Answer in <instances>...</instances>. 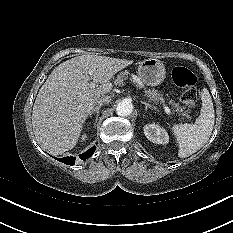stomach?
<instances>
[{
  "label": "stomach",
  "mask_w": 233,
  "mask_h": 233,
  "mask_svg": "<svg viewBox=\"0 0 233 233\" xmlns=\"http://www.w3.org/2000/svg\"><path fill=\"white\" fill-rule=\"evenodd\" d=\"M138 75L146 85L157 86L165 79V66L159 59L148 58L140 63Z\"/></svg>",
  "instance_id": "obj_1"
}]
</instances>
